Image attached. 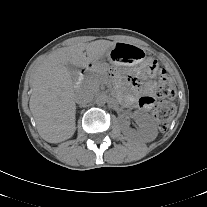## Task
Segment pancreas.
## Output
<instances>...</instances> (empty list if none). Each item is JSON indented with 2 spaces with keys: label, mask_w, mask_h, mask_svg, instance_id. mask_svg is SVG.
I'll use <instances>...</instances> for the list:
<instances>
[{
  "label": "pancreas",
  "mask_w": 207,
  "mask_h": 207,
  "mask_svg": "<svg viewBox=\"0 0 207 207\" xmlns=\"http://www.w3.org/2000/svg\"><path fill=\"white\" fill-rule=\"evenodd\" d=\"M107 64L97 67L94 72L84 82V87L92 91H96L99 88V84L106 79L105 68Z\"/></svg>",
  "instance_id": "pancreas-1"
}]
</instances>
